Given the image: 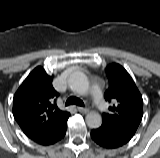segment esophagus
I'll use <instances>...</instances> for the list:
<instances>
[{
	"instance_id": "34e87169",
	"label": "esophagus",
	"mask_w": 160,
	"mask_h": 158,
	"mask_svg": "<svg viewBox=\"0 0 160 158\" xmlns=\"http://www.w3.org/2000/svg\"><path fill=\"white\" fill-rule=\"evenodd\" d=\"M77 109L81 113H87L89 111V109L87 107H78Z\"/></svg>"
}]
</instances>
